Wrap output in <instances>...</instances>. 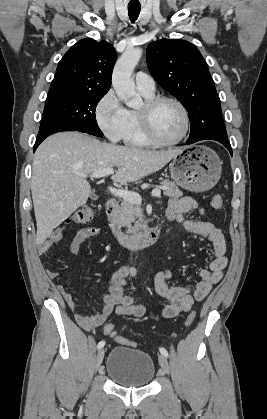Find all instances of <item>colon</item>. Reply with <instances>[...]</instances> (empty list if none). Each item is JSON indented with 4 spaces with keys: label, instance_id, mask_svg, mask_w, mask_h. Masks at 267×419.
<instances>
[{
    "label": "colon",
    "instance_id": "1",
    "mask_svg": "<svg viewBox=\"0 0 267 419\" xmlns=\"http://www.w3.org/2000/svg\"><path fill=\"white\" fill-rule=\"evenodd\" d=\"M211 205L213 208L219 210L223 207V199L220 195H214L211 199ZM94 217V211L90 207H82L78 210H76L66 221L67 223H73V224H86L90 222ZM195 320V312H191L188 314L185 324L187 326L191 325L193 321ZM103 333L105 335H108L112 337L117 343L135 347L136 344L127 338H124L120 336L116 330L113 324L108 323L103 327Z\"/></svg>",
    "mask_w": 267,
    "mask_h": 419
}]
</instances>
